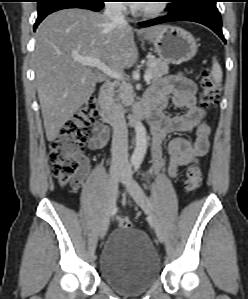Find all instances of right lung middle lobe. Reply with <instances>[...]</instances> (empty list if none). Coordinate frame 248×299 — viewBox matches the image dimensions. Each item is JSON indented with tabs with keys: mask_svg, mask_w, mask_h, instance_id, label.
Wrapping results in <instances>:
<instances>
[{
	"mask_svg": "<svg viewBox=\"0 0 248 299\" xmlns=\"http://www.w3.org/2000/svg\"><path fill=\"white\" fill-rule=\"evenodd\" d=\"M44 1H45V0H39V1H38V4L41 3V2H44Z\"/></svg>",
	"mask_w": 248,
	"mask_h": 299,
	"instance_id": "1",
	"label": "right lung middle lobe"
}]
</instances>
